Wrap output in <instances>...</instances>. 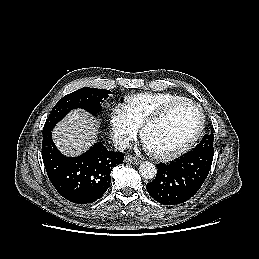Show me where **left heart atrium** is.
<instances>
[{"instance_id": "1", "label": "left heart atrium", "mask_w": 259, "mask_h": 259, "mask_svg": "<svg viewBox=\"0 0 259 259\" xmlns=\"http://www.w3.org/2000/svg\"><path fill=\"white\" fill-rule=\"evenodd\" d=\"M144 146H145V148H146V149H148V150H149V147H148L146 144H144Z\"/></svg>"}]
</instances>
